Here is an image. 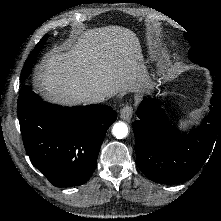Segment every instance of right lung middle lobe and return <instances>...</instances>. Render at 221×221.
I'll return each instance as SVG.
<instances>
[{
	"label": "right lung middle lobe",
	"mask_w": 221,
	"mask_h": 221,
	"mask_svg": "<svg viewBox=\"0 0 221 221\" xmlns=\"http://www.w3.org/2000/svg\"><path fill=\"white\" fill-rule=\"evenodd\" d=\"M48 36L45 35L40 42L35 46L34 50L30 53L29 57L27 58L24 67L21 71V78L20 80L22 82H24L28 76L30 75V73L32 72V68L34 65L35 60L37 59V54L38 52L42 49L45 40H47Z\"/></svg>",
	"instance_id": "1"
}]
</instances>
